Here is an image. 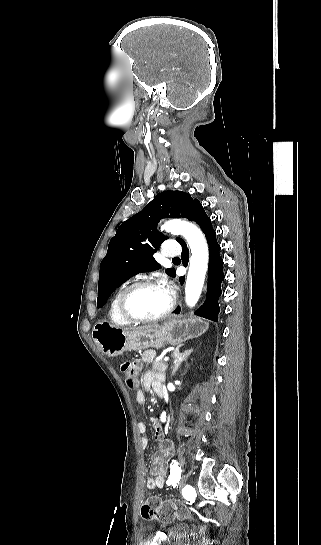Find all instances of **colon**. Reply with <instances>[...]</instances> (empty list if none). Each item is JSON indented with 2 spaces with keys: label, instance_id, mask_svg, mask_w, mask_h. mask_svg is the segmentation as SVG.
<instances>
[{
  "label": "colon",
  "instance_id": "colon-1",
  "mask_svg": "<svg viewBox=\"0 0 321 545\" xmlns=\"http://www.w3.org/2000/svg\"><path fill=\"white\" fill-rule=\"evenodd\" d=\"M119 372L124 377L129 388L136 386L135 365L131 361H122L119 364ZM188 515L186 507L179 503L163 501L157 496H149L141 506V516L144 519H156L162 522H172L185 518Z\"/></svg>",
  "mask_w": 321,
  "mask_h": 545
}]
</instances>
